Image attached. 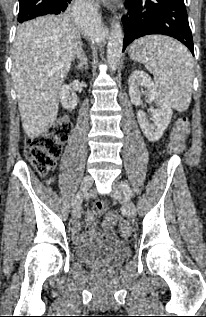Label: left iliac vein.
<instances>
[{
  "label": "left iliac vein",
  "instance_id": "obj_1",
  "mask_svg": "<svg viewBox=\"0 0 206 317\" xmlns=\"http://www.w3.org/2000/svg\"><path fill=\"white\" fill-rule=\"evenodd\" d=\"M113 198L122 202L130 218H135L137 210L135 204L124 195V190L119 182H114L111 192Z\"/></svg>",
  "mask_w": 206,
  "mask_h": 317
}]
</instances>
